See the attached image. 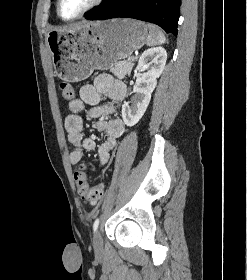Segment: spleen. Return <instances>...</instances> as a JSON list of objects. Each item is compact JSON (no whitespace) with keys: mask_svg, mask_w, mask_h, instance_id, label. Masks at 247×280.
Segmentation results:
<instances>
[{"mask_svg":"<svg viewBox=\"0 0 247 280\" xmlns=\"http://www.w3.org/2000/svg\"><path fill=\"white\" fill-rule=\"evenodd\" d=\"M147 27L149 29V35L146 40L148 46L160 45L165 43V35L159 27L153 24H148Z\"/></svg>","mask_w":247,"mask_h":280,"instance_id":"1","label":"spleen"}]
</instances>
